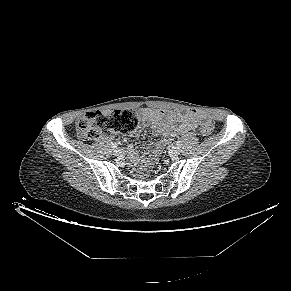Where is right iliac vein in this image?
I'll use <instances>...</instances> for the list:
<instances>
[{
    "label": "right iliac vein",
    "mask_w": 291,
    "mask_h": 291,
    "mask_svg": "<svg viewBox=\"0 0 291 291\" xmlns=\"http://www.w3.org/2000/svg\"><path fill=\"white\" fill-rule=\"evenodd\" d=\"M113 153H114V155L119 156L122 154V149L117 148L113 151Z\"/></svg>",
    "instance_id": "63e3f726"
}]
</instances>
